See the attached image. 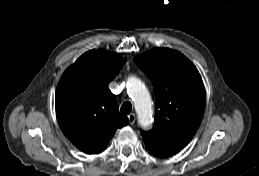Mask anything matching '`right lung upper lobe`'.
<instances>
[{"label": "right lung upper lobe", "instance_id": "obj_1", "mask_svg": "<svg viewBox=\"0 0 259 176\" xmlns=\"http://www.w3.org/2000/svg\"><path fill=\"white\" fill-rule=\"evenodd\" d=\"M126 59L117 53L90 50L62 75L55 94L56 115L64 135L81 151L102 152L117 128L129 123L119 113L109 82Z\"/></svg>", "mask_w": 259, "mask_h": 176}]
</instances>
